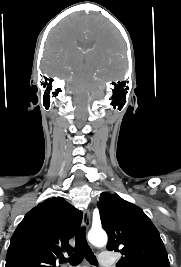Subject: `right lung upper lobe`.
<instances>
[{
  "label": "right lung upper lobe",
  "instance_id": "cb5924a9",
  "mask_svg": "<svg viewBox=\"0 0 181 267\" xmlns=\"http://www.w3.org/2000/svg\"><path fill=\"white\" fill-rule=\"evenodd\" d=\"M82 221V212L62 197H52L29 211L16 228L5 267H56Z\"/></svg>",
  "mask_w": 181,
  "mask_h": 267
}]
</instances>
